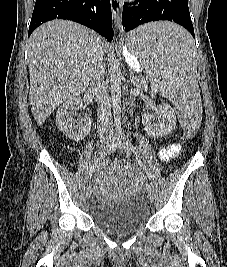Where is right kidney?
I'll return each mask as SVG.
<instances>
[{
  "mask_svg": "<svg viewBox=\"0 0 227 267\" xmlns=\"http://www.w3.org/2000/svg\"><path fill=\"white\" fill-rule=\"evenodd\" d=\"M82 107V100L74 97L66 100L56 114L58 129L68 138L78 141L85 138L91 129V119H75L76 111Z\"/></svg>",
  "mask_w": 227,
  "mask_h": 267,
  "instance_id": "obj_1",
  "label": "right kidney"
}]
</instances>
